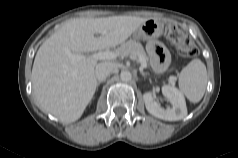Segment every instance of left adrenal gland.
<instances>
[{
  "instance_id": "obj_1",
  "label": "left adrenal gland",
  "mask_w": 238,
  "mask_h": 158,
  "mask_svg": "<svg viewBox=\"0 0 238 158\" xmlns=\"http://www.w3.org/2000/svg\"><path fill=\"white\" fill-rule=\"evenodd\" d=\"M140 74H141L142 76H147V75H148V73H144L143 71H140Z\"/></svg>"
}]
</instances>
